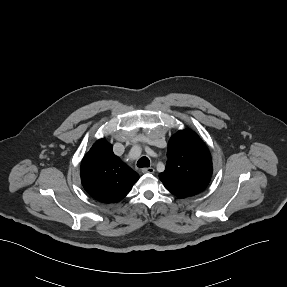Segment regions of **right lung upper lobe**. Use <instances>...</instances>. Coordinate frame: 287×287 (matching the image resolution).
<instances>
[{
	"label": "right lung upper lobe",
	"instance_id": "1",
	"mask_svg": "<svg viewBox=\"0 0 287 287\" xmlns=\"http://www.w3.org/2000/svg\"><path fill=\"white\" fill-rule=\"evenodd\" d=\"M105 139L98 140L81 163V181L94 199L104 203L122 200L138 181L139 175L113 153Z\"/></svg>",
	"mask_w": 287,
	"mask_h": 287
}]
</instances>
